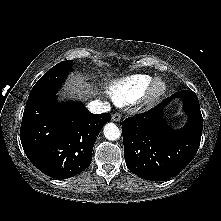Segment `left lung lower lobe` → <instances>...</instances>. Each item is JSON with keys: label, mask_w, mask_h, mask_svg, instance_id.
<instances>
[{"label": "left lung lower lobe", "mask_w": 221, "mask_h": 221, "mask_svg": "<svg viewBox=\"0 0 221 221\" xmlns=\"http://www.w3.org/2000/svg\"><path fill=\"white\" fill-rule=\"evenodd\" d=\"M184 101L189 120L179 130L164 122L163 109L173 99ZM203 118L196 94L182 90L153 109L124 120L122 134L128 169L140 177L160 181L183 170L195 156L201 140Z\"/></svg>", "instance_id": "1"}]
</instances>
